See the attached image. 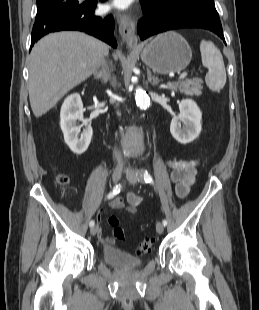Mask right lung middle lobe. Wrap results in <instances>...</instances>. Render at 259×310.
Returning a JSON list of instances; mask_svg holds the SVG:
<instances>
[{
	"instance_id": "right-lung-middle-lobe-1",
	"label": "right lung middle lobe",
	"mask_w": 259,
	"mask_h": 310,
	"mask_svg": "<svg viewBox=\"0 0 259 310\" xmlns=\"http://www.w3.org/2000/svg\"><path fill=\"white\" fill-rule=\"evenodd\" d=\"M77 0H37V15L51 10L72 9L80 5Z\"/></svg>"
}]
</instances>
